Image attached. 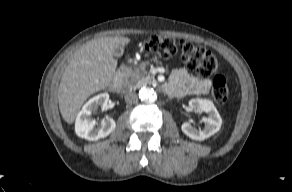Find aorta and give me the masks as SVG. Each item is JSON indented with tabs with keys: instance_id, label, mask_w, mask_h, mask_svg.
Wrapping results in <instances>:
<instances>
[{
	"instance_id": "762f6f07",
	"label": "aorta",
	"mask_w": 292,
	"mask_h": 192,
	"mask_svg": "<svg viewBox=\"0 0 292 192\" xmlns=\"http://www.w3.org/2000/svg\"><path fill=\"white\" fill-rule=\"evenodd\" d=\"M139 98L144 103H153L157 100V93L151 87H142L139 90Z\"/></svg>"
}]
</instances>
